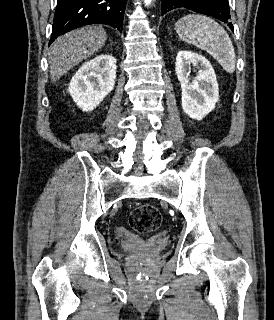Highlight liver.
I'll return each instance as SVG.
<instances>
[{
    "mask_svg": "<svg viewBox=\"0 0 274 320\" xmlns=\"http://www.w3.org/2000/svg\"><path fill=\"white\" fill-rule=\"evenodd\" d=\"M106 42L107 34L102 26H85L57 38L49 52L50 78L53 84L67 74L68 70L91 58Z\"/></svg>",
    "mask_w": 274,
    "mask_h": 320,
    "instance_id": "1",
    "label": "liver"
}]
</instances>
